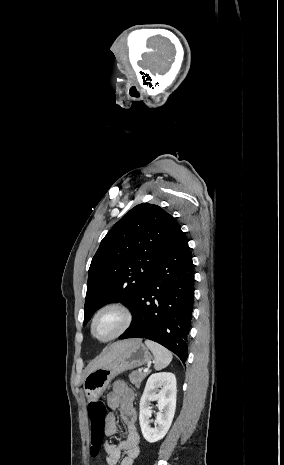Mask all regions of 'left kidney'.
Here are the masks:
<instances>
[{
    "label": "left kidney",
    "instance_id": "obj_1",
    "mask_svg": "<svg viewBox=\"0 0 284 465\" xmlns=\"http://www.w3.org/2000/svg\"><path fill=\"white\" fill-rule=\"evenodd\" d=\"M160 389V391H159ZM159 391L158 395H156ZM176 379L173 373H154L149 377L144 393L140 399V427L142 435L148 443H157L168 433L176 409ZM151 401H158L159 413H157L154 429L150 427V417L153 411Z\"/></svg>",
    "mask_w": 284,
    "mask_h": 465
}]
</instances>
